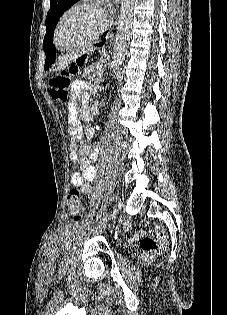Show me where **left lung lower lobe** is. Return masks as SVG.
<instances>
[{"instance_id": "obj_1", "label": "left lung lower lobe", "mask_w": 227, "mask_h": 315, "mask_svg": "<svg viewBox=\"0 0 227 315\" xmlns=\"http://www.w3.org/2000/svg\"><path fill=\"white\" fill-rule=\"evenodd\" d=\"M105 36V34H104ZM105 44V40L101 41L100 43L95 44V46L101 47ZM56 59V53L54 46H49L48 50L46 51V61H45V69H48L51 64Z\"/></svg>"}]
</instances>
